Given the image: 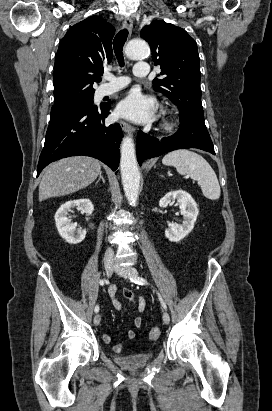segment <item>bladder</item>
<instances>
[{"label":"bladder","mask_w":272,"mask_h":411,"mask_svg":"<svg viewBox=\"0 0 272 411\" xmlns=\"http://www.w3.org/2000/svg\"><path fill=\"white\" fill-rule=\"evenodd\" d=\"M153 358V353L113 355V362L128 371H137L147 366Z\"/></svg>","instance_id":"obj_1"}]
</instances>
